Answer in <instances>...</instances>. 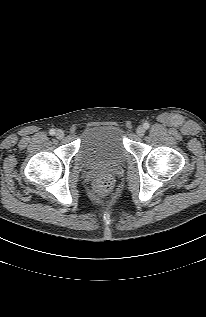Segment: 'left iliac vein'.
<instances>
[{
  "label": "left iliac vein",
  "mask_w": 206,
  "mask_h": 317,
  "mask_svg": "<svg viewBox=\"0 0 206 317\" xmlns=\"http://www.w3.org/2000/svg\"><path fill=\"white\" fill-rule=\"evenodd\" d=\"M136 133L139 137H142L145 134V128L143 126L137 127Z\"/></svg>",
  "instance_id": "obj_1"
}]
</instances>
